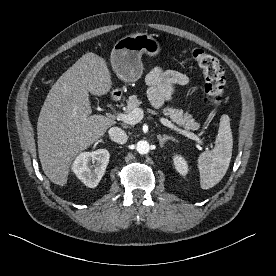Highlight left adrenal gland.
<instances>
[{"mask_svg": "<svg viewBox=\"0 0 276 276\" xmlns=\"http://www.w3.org/2000/svg\"><path fill=\"white\" fill-rule=\"evenodd\" d=\"M159 143H160V147H164V144L167 142V140H172L175 141V139L172 136H168V135H158L157 136Z\"/></svg>", "mask_w": 276, "mask_h": 276, "instance_id": "obj_1", "label": "left adrenal gland"}]
</instances>
